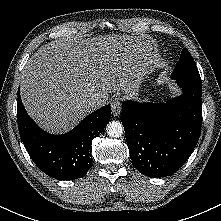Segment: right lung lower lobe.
I'll use <instances>...</instances> for the list:
<instances>
[{
  "label": "right lung lower lobe",
  "mask_w": 221,
  "mask_h": 221,
  "mask_svg": "<svg viewBox=\"0 0 221 221\" xmlns=\"http://www.w3.org/2000/svg\"><path fill=\"white\" fill-rule=\"evenodd\" d=\"M19 92L18 89V128L31 159L40 170L53 178H82L92 166L91 142L111 118L110 105L88 115L70 132L51 135L41 130L29 117Z\"/></svg>",
  "instance_id": "1"
}]
</instances>
